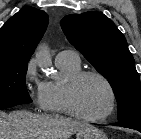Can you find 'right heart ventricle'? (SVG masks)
<instances>
[{
  "mask_svg": "<svg viewBox=\"0 0 141 139\" xmlns=\"http://www.w3.org/2000/svg\"><path fill=\"white\" fill-rule=\"evenodd\" d=\"M62 78L57 81L45 82L47 110L55 114L72 115L65 101V85L76 73L82 71L80 62H58Z\"/></svg>",
  "mask_w": 141,
  "mask_h": 139,
  "instance_id": "right-heart-ventricle-1",
  "label": "right heart ventricle"
}]
</instances>
